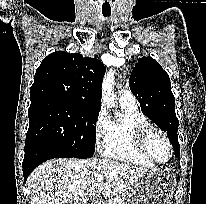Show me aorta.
I'll use <instances>...</instances> for the list:
<instances>
[{
  "instance_id": "aorta-1",
  "label": "aorta",
  "mask_w": 206,
  "mask_h": 204,
  "mask_svg": "<svg viewBox=\"0 0 206 204\" xmlns=\"http://www.w3.org/2000/svg\"><path fill=\"white\" fill-rule=\"evenodd\" d=\"M114 70L110 69L106 72L102 82V101L108 107H112L115 103V94H114V84H115V77H114Z\"/></svg>"
}]
</instances>
